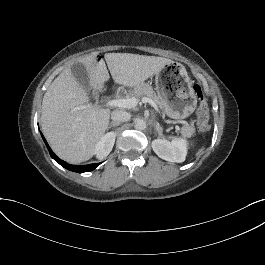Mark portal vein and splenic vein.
<instances>
[{
  "label": "portal vein and splenic vein",
  "instance_id": "18ae733b",
  "mask_svg": "<svg viewBox=\"0 0 265 265\" xmlns=\"http://www.w3.org/2000/svg\"><path fill=\"white\" fill-rule=\"evenodd\" d=\"M143 103H148L153 107H156V103L149 97L142 98ZM137 102L135 99H111L106 101L105 103H102L98 106L87 104L84 106H81L80 108H95V109H101V108H132L136 106Z\"/></svg>",
  "mask_w": 265,
  "mask_h": 265
}]
</instances>
